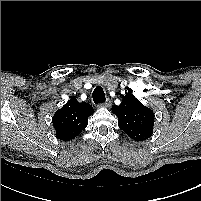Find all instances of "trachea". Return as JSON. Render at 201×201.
Wrapping results in <instances>:
<instances>
[{
    "label": "trachea",
    "mask_w": 201,
    "mask_h": 201,
    "mask_svg": "<svg viewBox=\"0 0 201 201\" xmlns=\"http://www.w3.org/2000/svg\"><path fill=\"white\" fill-rule=\"evenodd\" d=\"M92 98L95 104L104 103L106 98L103 88L100 86L96 87L92 93Z\"/></svg>",
    "instance_id": "1"
}]
</instances>
